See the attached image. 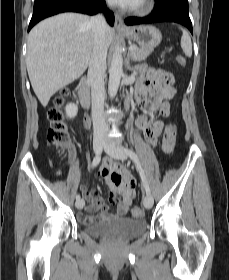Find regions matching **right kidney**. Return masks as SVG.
<instances>
[{
    "mask_svg": "<svg viewBox=\"0 0 229 280\" xmlns=\"http://www.w3.org/2000/svg\"><path fill=\"white\" fill-rule=\"evenodd\" d=\"M77 112H78L77 105L70 103L66 106V114L68 117L70 118L75 117L77 115Z\"/></svg>",
    "mask_w": 229,
    "mask_h": 280,
    "instance_id": "right-kidney-1",
    "label": "right kidney"
}]
</instances>
